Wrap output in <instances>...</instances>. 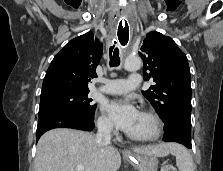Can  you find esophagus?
Masks as SVG:
<instances>
[{
  "mask_svg": "<svg viewBox=\"0 0 223 171\" xmlns=\"http://www.w3.org/2000/svg\"><path fill=\"white\" fill-rule=\"evenodd\" d=\"M131 21L126 13L118 14V25L116 27V35L122 45H126L128 39H131Z\"/></svg>",
  "mask_w": 223,
  "mask_h": 171,
  "instance_id": "34e87169",
  "label": "esophagus"
}]
</instances>
